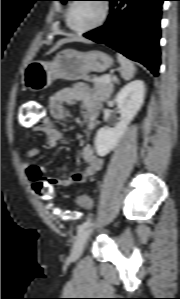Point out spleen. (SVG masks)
I'll return each instance as SVG.
<instances>
[{
	"mask_svg": "<svg viewBox=\"0 0 180 299\" xmlns=\"http://www.w3.org/2000/svg\"><path fill=\"white\" fill-rule=\"evenodd\" d=\"M117 59L121 66L120 71L122 78L124 80L132 79L136 71L134 64L121 54H117Z\"/></svg>",
	"mask_w": 180,
	"mask_h": 299,
	"instance_id": "3e777b00",
	"label": "spleen"
}]
</instances>
